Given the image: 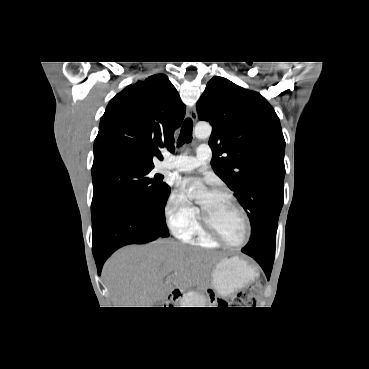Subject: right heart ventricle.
Wrapping results in <instances>:
<instances>
[{
	"instance_id": "right-heart-ventricle-1",
	"label": "right heart ventricle",
	"mask_w": 369,
	"mask_h": 369,
	"mask_svg": "<svg viewBox=\"0 0 369 369\" xmlns=\"http://www.w3.org/2000/svg\"><path fill=\"white\" fill-rule=\"evenodd\" d=\"M183 239L194 241L197 244L205 247H214L217 245V242L210 239L202 230L200 224L196 222L190 233L186 235H181Z\"/></svg>"
}]
</instances>
